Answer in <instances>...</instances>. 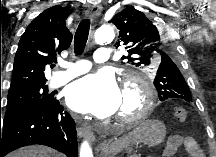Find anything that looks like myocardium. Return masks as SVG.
Returning <instances> with one entry per match:
<instances>
[{"instance_id": "1", "label": "myocardium", "mask_w": 216, "mask_h": 157, "mask_svg": "<svg viewBox=\"0 0 216 157\" xmlns=\"http://www.w3.org/2000/svg\"><path fill=\"white\" fill-rule=\"evenodd\" d=\"M135 90L140 97L139 109L129 115L117 116V121L123 125L133 126L144 120L155 105V91L151 84L140 75H127L123 83V92Z\"/></svg>"}]
</instances>
